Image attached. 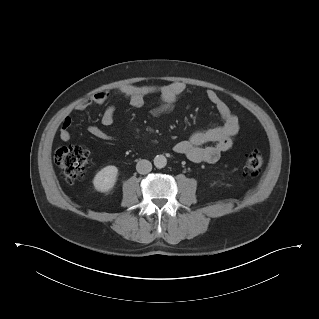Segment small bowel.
Wrapping results in <instances>:
<instances>
[{
  "mask_svg": "<svg viewBox=\"0 0 319 319\" xmlns=\"http://www.w3.org/2000/svg\"><path fill=\"white\" fill-rule=\"evenodd\" d=\"M186 90V85L180 81L169 84H146V85H123L114 91H98L89 98L83 99L76 106L77 111H84L91 105H104L113 93L125 97L133 107H141L145 103L147 96L152 94L159 95V104L153 110L156 116L165 115L171 112L179 96ZM207 98L213 105L216 112L222 119V124L202 128L194 131L189 138L181 140L174 145L177 154L185 156L193 162L213 163L229 151L233 145L234 137L239 131L238 117L230 110L225 101L214 90L206 92ZM115 106L108 105L103 111L100 122L108 127L114 123ZM72 119L66 116L59 129V138L67 142L71 139L70 128ZM88 132L101 140L113 141L114 137L104 131L98 125H91ZM213 143V145H207Z\"/></svg>",
  "mask_w": 319,
  "mask_h": 319,
  "instance_id": "small-bowel-1",
  "label": "small bowel"
}]
</instances>
